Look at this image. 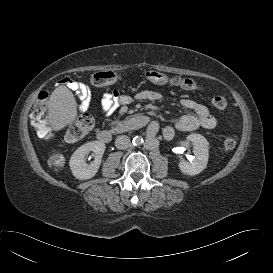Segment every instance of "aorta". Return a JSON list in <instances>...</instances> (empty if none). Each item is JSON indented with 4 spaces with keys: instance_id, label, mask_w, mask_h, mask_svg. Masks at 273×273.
<instances>
[{
    "instance_id": "aorta-1",
    "label": "aorta",
    "mask_w": 273,
    "mask_h": 273,
    "mask_svg": "<svg viewBox=\"0 0 273 273\" xmlns=\"http://www.w3.org/2000/svg\"><path fill=\"white\" fill-rule=\"evenodd\" d=\"M143 143V138L140 136H136L133 138V144L139 146Z\"/></svg>"
}]
</instances>
